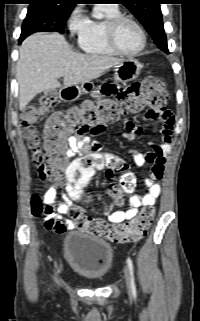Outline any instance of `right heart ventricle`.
I'll return each mask as SVG.
<instances>
[{
  "label": "right heart ventricle",
  "mask_w": 200,
  "mask_h": 321,
  "mask_svg": "<svg viewBox=\"0 0 200 321\" xmlns=\"http://www.w3.org/2000/svg\"><path fill=\"white\" fill-rule=\"evenodd\" d=\"M96 9L103 14L102 19H87L83 30L78 34V46L87 54L95 56H116L118 55L109 46L106 39L107 22L121 14L116 5H98Z\"/></svg>",
  "instance_id": "1"
}]
</instances>
